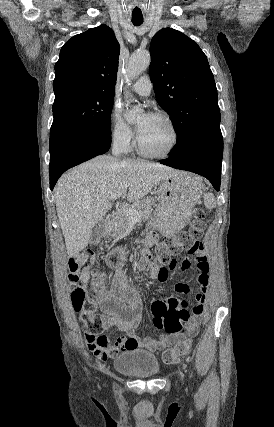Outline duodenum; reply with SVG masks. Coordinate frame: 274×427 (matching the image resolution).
<instances>
[{
    "mask_svg": "<svg viewBox=\"0 0 274 427\" xmlns=\"http://www.w3.org/2000/svg\"><path fill=\"white\" fill-rule=\"evenodd\" d=\"M110 224H111V221L108 219V220H106L105 221V228H108L109 226H110ZM145 256H146V259H148V257H149V253L148 252H145Z\"/></svg>",
    "mask_w": 274,
    "mask_h": 427,
    "instance_id": "obj_1",
    "label": "duodenum"
}]
</instances>
